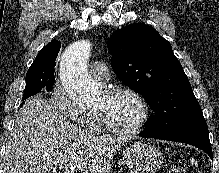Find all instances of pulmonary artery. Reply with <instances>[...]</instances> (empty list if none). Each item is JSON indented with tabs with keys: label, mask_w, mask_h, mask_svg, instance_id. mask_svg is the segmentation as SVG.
<instances>
[{
	"label": "pulmonary artery",
	"mask_w": 219,
	"mask_h": 173,
	"mask_svg": "<svg viewBox=\"0 0 219 173\" xmlns=\"http://www.w3.org/2000/svg\"><path fill=\"white\" fill-rule=\"evenodd\" d=\"M90 75L91 77L100 82L105 83L108 80L109 72L108 67L105 61L96 60L90 66Z\"/></svg>",
	"instance_id": "e3ab8cb5"
}]
</instances>
